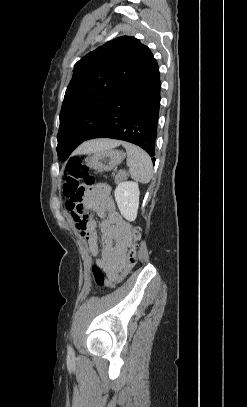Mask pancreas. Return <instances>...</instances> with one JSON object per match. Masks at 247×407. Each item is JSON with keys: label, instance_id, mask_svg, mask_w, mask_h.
Listing matches in <instances>:
<instances>
[{"label": "pancreas", "instance_id": "cf45deb5", "mask_svg": "<svg viewBox=\"0 0 247 407\" xmlns=\"http://www.w3.org/2000/svg\"><path fill=\"white\" fill-rule=\"evenodd\" d=\"M115 183H120L122 180L127 178V174L124 171H119L116 175L113 174Z\"/></svg>", "mask_w": 247, "mask_h": 407}]
</instances>
